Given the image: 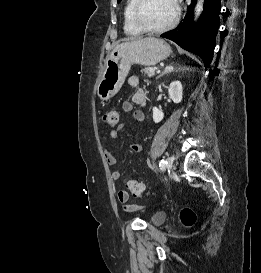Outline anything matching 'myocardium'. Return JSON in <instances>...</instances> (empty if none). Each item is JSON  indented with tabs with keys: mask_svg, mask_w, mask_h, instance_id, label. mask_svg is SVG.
<instances>
[{
	"mask_svg": "<svg viewBox=\"0 0 261 273\" xmlns=\"http://www.w3.org/2000/svg\"><path fill=\"white\" fill-rule=\"evenodd\" d=\"M143 0H134V4L132 6L131 10V19L135 27H137L141 32H147V33H164L172 28H174L180 19V5L178 0H173L174 6H175V15L174 18L166 25L161 27H148L142 24L138 18V10L142 4Z\"/></svg>",
	"mask_w": 261,
	"mask_h": 273,
	"instance_id": "f54148a6",
	"label": "myocardium"
}]
</instances>
